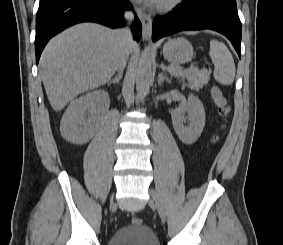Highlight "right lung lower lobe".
<instances>
[{"mask_svg": "<svg viewBox=\"0 0 283 245\" xmlns=\"http://www.w3.org/2000/svg\"><path fill=\"white\" fill-rule=\"evenodd\" d=\"M133 10L128 0H40L36 15V63L51 37L79 22L92 21L116 28L124 24L123 13ZM134 37L139 40L141 23L135 18Z\"/></svg>", "mask_w": 283, "mask_h": 245, "instance_id": "right-lung-lower-lobe-1", "label": "right lung lower lobe"}]
</instances>
